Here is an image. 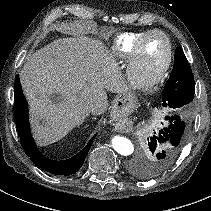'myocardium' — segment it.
I'll list each match as a JSON object with an SVG mask.
<instances>
[{
  "mask_svg": "<svg viewBox=\"0 0 211 211\" xmlns=\"http://www.w3.org/2000/svg\"><path fill=\"white\" fill-rule=\"evenodd\" d=\"M152 35H160L162 36L167 45V53L166 58L160 68L156 71V73L148 80H140L137 76V72L139 69V61L141 56L142 47L145 41ZM173 56V48L172 43L169 37L160 30H151L145 33L135 44L132 52V56L128 61V68H127V76L129 79L130 84L133 88L141 91H151L153 90L165 77L167 74Z\"/></svg>",
  "mask_w": 211,
  "mask_h": 211,
  "instance_id": "myocardium-1",
  "label": "myocardium"
}]
</instances>
